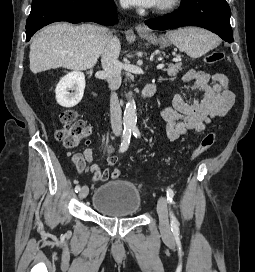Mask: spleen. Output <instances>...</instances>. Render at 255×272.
Returning a JSON list of instances; mask_svg holds the SVG:
<instances>
[{
  "label": "spleen",
  "mask_w": 255,
  "mask_h": 272,
  "mask_svg": "<svg viewBox=\"0 0 255 272\" xmlns=\"http://www.w3.org/2000/svg\"><path fill=\"white\" fill-rule=\"evenodd\" d=\"M166 36L171 43L192 58L205 55L219 44V39L214 34L197 27L171 30Z\"/></svg>",
  "instance_id": "spleen-1"
}]
</instances>
